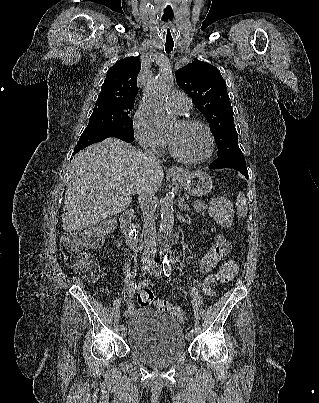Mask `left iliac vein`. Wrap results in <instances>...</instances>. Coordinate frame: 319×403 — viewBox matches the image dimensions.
Returning <instances> with one entry per match:
<instances>
[{"mask_svg":"<svg viewBox=\"0 0 319 403\" xmlns=\"http://www.w3.org/2000/svg\"><path fill=\"white\" fill-rule=\"evenodd\" d=\"M151 268L156 272L154 275H155V276H158V275H159V272L156 271L157 265H156V264H153V265L151 266ZM186 339H187V341H191V340L193 339V334H192V333H188V334L186 335Z\"/></svg>","mask_w":319,"mask_h":403,"instance_id":"1","label":"left iliac vein"}]
</instances>
